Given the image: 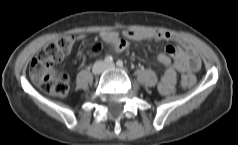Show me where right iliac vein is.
Instances as JSON below:
<instances>
[{
	"label": "right iliac vein",
	"instance_id": "right-iliac-vein-1",
	"mask_svg": "<svg viewBox=\"0 0 238 145\" xmlns=\"http://www.w3.org/2000/svg\"><path fill=\"white\" fill-rule=\"evenodd\" d=\"M103 68H104V63L101 61H98L94 64V66L92 68V73L94 75H98L102 72Z\"/></svg>",
	"mask_w": 238,
	"mask_h": 145
}]
</instances>
